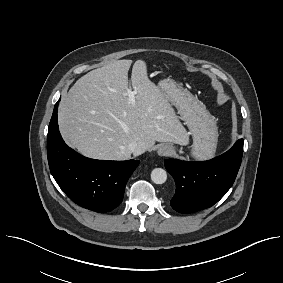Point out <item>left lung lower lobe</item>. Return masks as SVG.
Here are the masks:
<instances>
[{
	"label": "left lung lower lobe",
	"mask_w": 283,
	"mask_h": 283,
	"mask_svg": "<svg viewBox=\"0 0 283 283\" xmlns=\"http://www.w3.org/2000/svg\"><path fill=\"white\" fill-rule=\"evenodd\" d=\"M243 154V139L224 154L203 162L165 160L176 191L170 204L179 213H192L217 203L231 188Z\"/></svg>",
	"instance_id": "left-lung-lower-lobe-1"
}]
</instances>
